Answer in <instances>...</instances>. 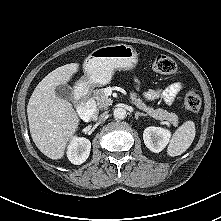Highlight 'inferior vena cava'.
Wrapping results in <instances>:
<instances>
[{"mask_svg": "<svg viewBox=\"0 0 221 221\" xmlns=\"http://www.w3.org/2000/svg\"><path fill=\"white\" fill-rule=\"evenodd\" d=\"M105 116H106V113H102V114L99 116V119H100V120H103V119L105 118Z\"/></svg>", "mask_w": 221, "mask_h": 221, "instance_id": "1", "label": "inferior vena cava"}]
</instances>
